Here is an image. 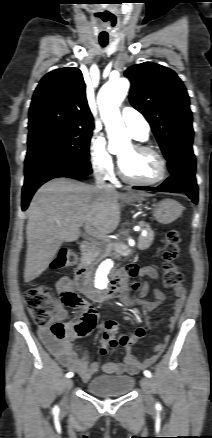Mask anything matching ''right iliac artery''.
<instances>
[{
    "mask_svg": "<svg viewBox=\"0 0 212 438\" xmlns=\"http://www.w3.org/2000/svg\"><path fill=\"white\" fill-rule=\"evenodd\" d=\"M73 375H74L73 372H68V373L66 374V377H67V378H71V377H73ZM54 411H58V407H57V406L54 407Z\"/></svg>",
    "mask_w": 212,
    "mask_h": 438,
    "instance_id": "1",
    "label": "right iliac artery"
}]
</instances>
